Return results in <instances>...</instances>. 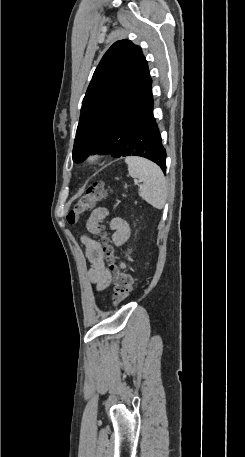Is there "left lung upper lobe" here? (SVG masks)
<instances>
[{
	"label": "left lung upper lobe",
	"instance_id": "obj_1",
	"mask_svg": "<svg viewBox=\"0 0 245 457\" xmlns=\"http://www.w3.org/2000/svg\"><path fill=\"white\" fill-rule=\"evenodd\" d=\"M147 61L129 40L115 42L97 66L82 102L73 160L83 141L123 113L141 108L152 93Z\"/></svg>",
	"mask_w": 245,
	"mask_h": 457
}]
</instances>
